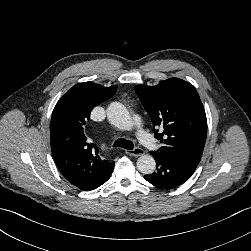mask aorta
Instances as JSON below:
<instances>
[{
  "label": "aorta",
  "mask_w": 251,
  "mask_h": 251,
  "mask_svg": "<svg viewBox=\"0 0 251 251\" xmlns=\"http://www.w3.org/2000/svg\"><path fill=\"white\" fill-rule=\"evenodd\" d=\"M108 121L117 128L130 130L133 127L132 118L127 108L120 102H112L107 108ZM137 168L143 174H152L156 162L151 155H142L137 160Z\"/></svg>",
  "instance_id": "obj_1"
}]
</instances>
